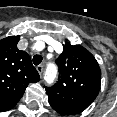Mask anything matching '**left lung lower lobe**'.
Returning <instances> with one entry per match:
<instances>
[{"label":"left lung lower lobe","instance_id":"obj_1","mask_svg":"<svg viewBox=\"0 0 117 117\" xmlns=\"http://www.w3.org/2000/svg\"><path fill=\"white\" fill-rule=\"evenodd\" d=\"M52 108L57 111L59 114L62 115H74L77 114L74 110L71 108L65 106V105H60V104H50Z\"/></svg>","mask_w":117,"mask_h":117}]
</instances>
